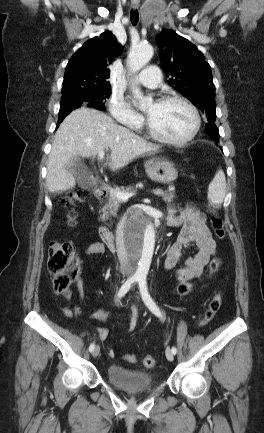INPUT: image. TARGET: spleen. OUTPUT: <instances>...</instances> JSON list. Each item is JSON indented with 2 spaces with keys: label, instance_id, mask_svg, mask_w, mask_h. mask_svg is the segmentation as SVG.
I'll return each mask as SVG.
<instances>
[{
  "label": "spleen",
  "instance_id": "obj_1",
  "mask_svg": "<svg viewBox=\"0 0 264 433\" xmlns=\"http://www.w3.org/2000/svg\"><path fill=\"white\" fill-rule=\"evenodd\" d=\"M226 195V178L222 169H219L208 187V199L211 204L220 206Z\"/></svg>",
  "mask_w": 264,
  "mask_h": 433
}]
</instances>
